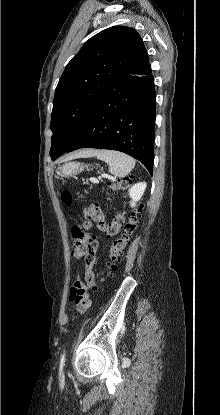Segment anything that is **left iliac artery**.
<instances>
[{
	"mask_svg": "<svg viewBox=\"0 0 220 415\" xmlns=\"http://www.w3.org/2000/svg\"><path fill=\"white\" fill-rule=\"evenodd\" d=\"M65 357H66V351H64L63 354L61 355V363L62 364L65 362Z\"/></svg>",
	"mask_w": 220,
	"mask_h": 415,
	"instance_id": "1",
	"label": "left iliac artery"
}]
</instances>
